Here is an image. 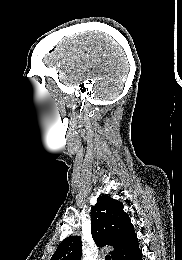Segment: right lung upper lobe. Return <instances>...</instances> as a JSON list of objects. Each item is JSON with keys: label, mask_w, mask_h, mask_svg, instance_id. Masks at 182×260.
I'll return each mask as SVG.
<instances>
[{"label": "right lung upper lobe", "mask_w": 182, "mask_h": 260, "mask_svg": "<svg viewBox=\"0 0 182 260\" xmlns=\"http://www.w3.org/2000/svg\"><path fill=\"white\" fill-rule=\"evenodd\" d=\"M91 232L97 246L110 245L112 260L137 240L123 204L108 195H100L91 209ZM82 242L79 236L64 239L50 260H81Z\"/></svg>", "instance_id": "cb5924a9"}]
</instances>
